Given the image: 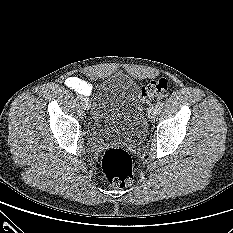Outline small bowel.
<instances>
[{
	"label": "small bowel",
	"instance_id": "small-bowel-1",
	"mask_svg": "<svg viewBox=\"0 0 233 233\" xmlns=\"http://www.w3.org/2000/svg\"><path fill=\"white\" fill-rule=\"evenodd\" d=\"M65 84L70 89L84 96H90L93 92V86L77 76H69L65 80Z\"/></svg>",
	"mask_w": 233,
	"mask_h": 233
}]
</instances>
